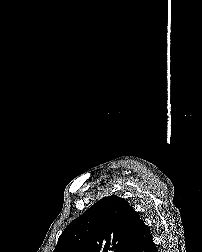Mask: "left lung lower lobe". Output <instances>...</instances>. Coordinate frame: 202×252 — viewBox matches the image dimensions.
Here are the masks:
<instances>
[{
    "instance_id": "0a47b994",
    "label": "left lung lower lobe",
    "mask_w": 202,
    "mask_h": 252,
    "mask_svg": "<svg viewBox=\"0 0 202 252\" xmlns=\"http://www.w3.org/2000/svg\"><path fill=\"white\" fill-rule=\"evenodd\" d=\"M132 252H157L150 231L143 221L139 224L136 242Z\"/></svg>"
}]
</instances>
